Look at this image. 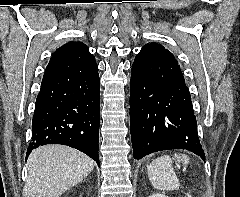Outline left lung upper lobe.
Wrapping results in <instances>:
<instances>
[{
    "label": "left lung upper lobe",
    "instance_id": "1",
    "mask_svg": "<svg viewBox=\"0 0 240 197\" xmlns=\"http://www.w3.org/2000/svg\"><path fill=\"white\" fill-rule=\"evenodd\" d=\"M132 66L138 70H160L182 74L173 54L157 43L146 44L136 56Z\"/></svg>",
    "mask_w": 240,
    "mask_h": 197
}]
</instances>
